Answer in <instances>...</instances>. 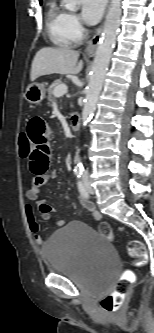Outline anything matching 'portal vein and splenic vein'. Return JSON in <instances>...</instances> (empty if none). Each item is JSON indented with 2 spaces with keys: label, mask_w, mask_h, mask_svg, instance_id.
Instances as JSON below:
<instances>
[{
  "label": "portal vein and splenic vein",
  "mask_w": 154,
  "mask_h": 333,
  "mask_svg": "<svg viewBox=\"0 0 154 333\" xmlns=\"http://www.w3.org/2000/svg\"><path fill=\"white\" fill-rule=\"evenodd\" d=\"M67 89H68L67 85L60 84L54 88L53 95L55 97H62L67 92Z\"/></svg>",
  "instance_id": "portal-vein-and-splenic-vein-1"
}]
</instances>
